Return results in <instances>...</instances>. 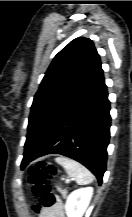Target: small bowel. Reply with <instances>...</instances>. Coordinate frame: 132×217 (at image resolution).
<instances>
[{
	"label": "small bowel",
	"mask_w": 132,
	"mask_h": 217,
	"mask_svg": "<svg viewBox=\"0 0 132 217\" xmlns=\"http://www.w3.org/2000/svg\"><path fill=\"white\" fill-rule=\"evenodd\" d=\"M39 217H65L62 203L58 201L51 207H43L39 210Z\"/></svg>",
	"instance_id": "small-bowel-1"
}]
</instances>
